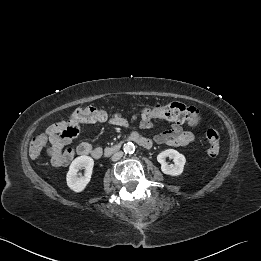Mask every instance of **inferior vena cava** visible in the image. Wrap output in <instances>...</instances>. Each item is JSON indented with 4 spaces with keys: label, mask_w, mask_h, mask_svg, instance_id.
I'll return each instance as SVG.
<instances>
[{
    "label": "inferior vena cava",
    "mask_w": 261,
    "mask_h": 261,
    "mask_svg": "<svg viewBox=\"0 0 261 261\" xmlns=\"http://www.w3.org/2000/svg\"><path fill=\"white\" fill-rule=\"evenodd\" d=\"M123 156V152L119 151V152H116L113 156H112V161H118L122 158Z\"/></svg>",
    "instance_id": "obj_1"
}]
</instances>
